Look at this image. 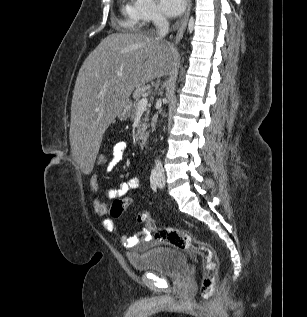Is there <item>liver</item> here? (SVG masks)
I'll use <instances>...</instances> for the list:
<instances>
[{
  "label": "liver",
  "instance_id": "6515ba94",
  "mask_svg": "<svg viewBox=\"0 0 307 317\" xmlns=\"http://www.w3.org/2000/svg\"><path fill=\"white\" fill-rule=\"evenodd\" d=\"M175 50L144 33L105 37L81 66L71 104L70 142L78 172L89 175L103 134L135 88L165 76Z\"/></svg>",
  "mask_w": 307,
  "mask_h": 317
}]
</instances>
